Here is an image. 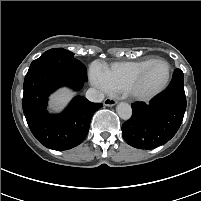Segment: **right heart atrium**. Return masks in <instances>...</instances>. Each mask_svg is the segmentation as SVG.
<instances>
[{"mask_svg":"<svg viewBox=\"0 0 201 201\" xmlns=\"http://www.w3.org/2000/svg\"><path fill=\"white\" fill-rule=\"evenodd\" d=\"M91 83L103 94L111 93V87L104 70L98 65H92L90 69Z\"/></svg>","mask_w":201,"mask_h":201,"instance_id":"obj_1","label":"right heart atrium"}]
</instances>
